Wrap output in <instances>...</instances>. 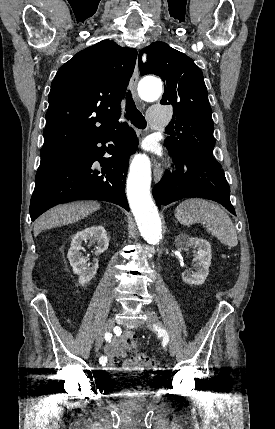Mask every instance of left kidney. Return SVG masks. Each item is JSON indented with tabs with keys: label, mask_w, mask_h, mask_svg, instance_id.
<instances>
[{
	"label": "left kidney",
	"mask_w": 275,
	"mask_h": 429,
	"mask_svg": "<svg viewBox=\"0 0 275 429\" xmlns=\"http://www.w3.org/2000/svg\"><path fill=\"white\" fill-rule=\"evenodd\" d=\"M178 249L187 247L197 248V255L193 259L195 263V271H184L182 273V280L191 285H201L209 273L211 265V245L207 240L189 237L186 234H180L175 239Z\"/></svg>",
	"instance_id": "5707ae66"
}]
</instances>
